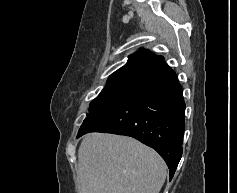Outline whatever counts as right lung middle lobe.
I'll list each match as a JSON object with an SVG mask.
<instances>
[{
  "mask_svg": "<svg viewBox=\"0 0 237 193\" xmlns=\"http://www.w3.org/2000/svg\"><path fill=\"white\" fill-rule=\"evenodd\" d=\"M144 72V70L130 71L109 77L107 85L90 103L87 117L104 112L121 103L140 85Z\"/></svg>",
  "mask_w": 237,
  "mask_h": 193,
  "instance_id": "right-lung-middle-lobe-1",
  "label": "right lung middle lobe"
}]
</instances>
